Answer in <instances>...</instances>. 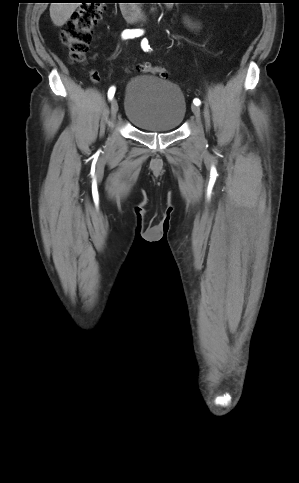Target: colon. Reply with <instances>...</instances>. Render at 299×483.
Here are the masks:
<instances>
[{
    "mask_svg": "<svg viewBox=\"0 0 299 483\" xmlns=\"http://www.w3.org/2000/svg\"><path fill=\"white\" fill-rule=\"evenodd\" d=\"M104 0H93L73 12L64 25L61 40L69 49L70 61L73 64L84 61L92 40V32L104 12ZM140 71L157 75L163 79L169 77L168 71L160 66L141 64Z\"/></svg>",
    "mask_w": 299,
    "mask_h": 483,
    "instance_id": "colon-1",
    "label": "colon"
}]
</instances>
